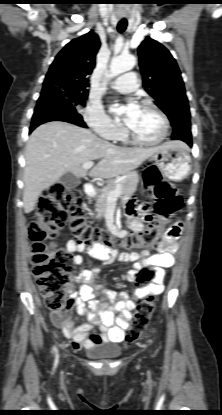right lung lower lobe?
Instances as JSON below:
<instances>
[{
  "mask_svg": "<svg viewBox=\"0 0 222 415\" xmlns=\"http://www.w3.org/2000/svg\"><path fill=\"white\" fill-rule=\"evenodd\" d=\"M49 121H65L81 127H87L80 114L72 104L58 92L48 90L41 92V97L37 102L30 133L40 124Z\"/></svg>",
  "mask_w": 222,
  "mask_h": 415,
  "instance_id": "right-lung-lower-lobe-1",
  "label": "right lung lower lobe"
}]
</instances>
